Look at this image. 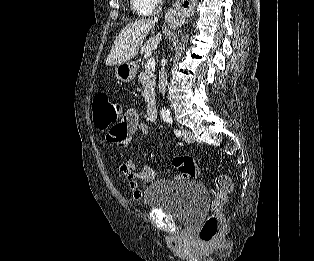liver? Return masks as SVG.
I'll list each match as a JSON object with an SVG mask.
<instances>
[{
	"label": "liver",
	"mask_w": 314,
	"mask_h": 261,
	"mask_svg": "<svg viewBox=\"0 0 314 261\" xmlns=\"http://www.w3.org/2000/svg\"><path fill=\"white\" fill-rule=\"evenodd\" d=\"M157 23V19L139 20L128 24L114 41L110 53L106 59V65H118L127 62L138 54L140 47L149 33ZM162 34L158 33L149 39L141 48V53L152 52L157 49Z\"/></svg>",
	"instance_id": "obj_1"
}]
</instances>
